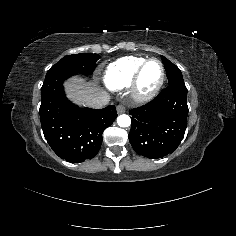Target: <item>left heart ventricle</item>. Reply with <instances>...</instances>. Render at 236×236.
I'll return each mask as SVG.
<instances>
[{
    "label": "left heart ventricle",
    "instance_id": "left-heart-ventricle-1",
    "mask_svg": "<svg viewBox=\"0 0 236 236\" xmlns=\"http://www.w3.org/2000/svg\"><path fill=\"white\" fill-rule=\"evenodd\" d=\"M162 76V67L158 62H150L142 72L139 80V90L142 93L151 92L159 83Z\"/></svg>",
    "mask_w": 236,
    "mask_h": 236
}]
</instances>
